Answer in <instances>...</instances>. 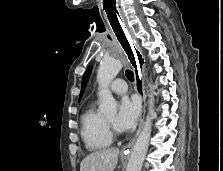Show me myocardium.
Listing matches in <instances>:
<instances>
[{"label": "myocardium", "mask_w": 223, "mask_h": 171, "mask_svg": "<svg viewBox=\"0 0 223 171\" xmlns=\"http://www.w3.org/2000/svg\"><path fill=\"white\" fill-rule=\"evenodd\" d=\"M106 125L108 127V130L109 132L111 133V135H113L115 132H114V128H113V125L111 123H109L107 120H106Z\"/></svg>", "instance_id": "obj_1"}]
</instances>
